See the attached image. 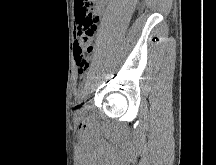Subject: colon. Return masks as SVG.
Segmentation results:
<instances>
[{
  "instance_id": "1",
  "label": "colon",
  "mask_w": 216,
  "mask_h": 165,
  "mask_svg": "<svg viewBox=\"0 0 216 165\" xmlns=\"http://www.w3.org/2000/svg\"><path fill=\"white\" fill-rule=\"evenodd\" d=\"M84 17L76 28L75 60L80 71L86 70L89 55L93 50V38L97 29V17L88 8L82 12Z\"/></svg>"
}]
</instances>
